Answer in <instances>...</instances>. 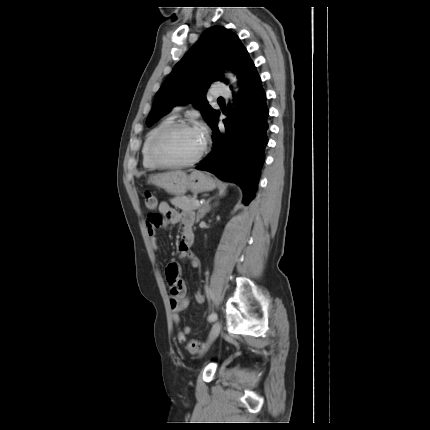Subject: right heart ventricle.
<instances>
[{
  "label": "right heart ventricle",
  "instance_id": "right-heart-ventricle-1",
  "mask_svg": "<svg viewBox=\"0 0 430 430\" xmlns=\"http://www.w3.org/2000/svg\"><path fill=\"white\" fill-rule=\"evenodd\" d=\"M175 116L168 115L159 121L153 128H151L145 136L144 143L142 146V162L143 166L147 169H157L160 166L157 165L149 156V144L152 138L165 126L174 121Z\"/></svg>",
  "mask_w": 430,
  "mask_h": 430
}]
</instances>
